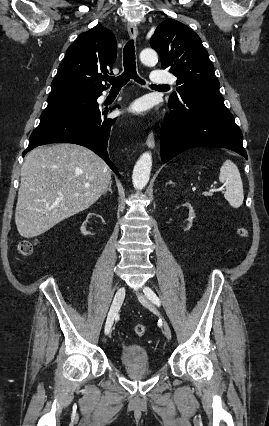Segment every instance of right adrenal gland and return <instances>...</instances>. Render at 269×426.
<instances>
[{
    "instance_id": "1",
    "label": "right adrenal gland",
    "mask_w": 269,
    "mask_h": 426,
    "mask_svg": "<svg viewBox=\"0 0 269 426\" xmlns=\"http://www.w3.org/2000/svg\"><path fill=\"white\" fill-rule=\"evenodd\" d=\"M111 184H112V182H110L109 183V186H108V188L106 189V191L104 192V194H106L108 191L112 194L113 193V191H112V189H111Z\"/></svg>"
}]
</instances>
